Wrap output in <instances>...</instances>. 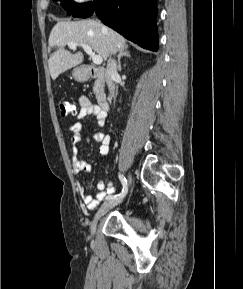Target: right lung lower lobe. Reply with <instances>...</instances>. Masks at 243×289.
<instances>
[{
	"label": "right lung lower lobe",
	"instance_id": "obj_1",
	"mask_svg": "<svg viewBox=\"0 0 243 289\" xmlns=\"http://www.w3.org/2000/svg\"><path fill=\"white\" fill-rule=\"evenodd\" d=\"M96 11L107 26L139 46L157 51L156 0H95L72 14L86 18Z\"/></svg>",
	"mask_w": 243,
	"mask_h": 289
}]
</instances>
